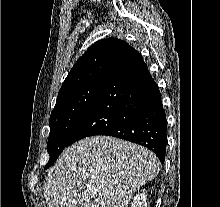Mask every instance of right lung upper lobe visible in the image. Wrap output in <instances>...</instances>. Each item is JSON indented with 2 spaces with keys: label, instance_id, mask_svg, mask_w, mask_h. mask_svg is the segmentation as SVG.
<instances>
[{
  "label": "right lung upper lobe",
  "instance_id": "cb5924a9",
  "mask_svg": "<svg viewBox=\"0 0 220 207\" xmlns=\"http://www.w3.org/2000/svg\"><path fill=\"white\" fill-rule=\"evenodd\" d=\"M142 59L141 54L123 40L97 41L76 61L58 95L92 81L107 79Z\"/></svg>",
  "mask_w": 220,
  "mask_h": 207
}]
</instances>
